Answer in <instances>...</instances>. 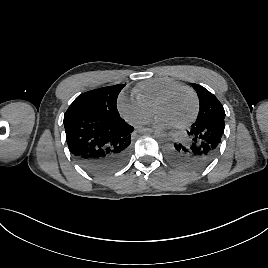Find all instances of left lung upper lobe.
Instances as JSON below:
<instances>
[{
    "label": "left lung upper lobe",
    "instance_id": "obj_1",
    "mask_svg": "<svg viewBox=\"0 0 268 268\" xmlns=\"http://www.w3.org/2000/svg\"><path fill=\"white\" fill-rule=\"evenodd\" d=\"M199 97L200 109L195 123H215L220 118H225V111L219 100L206 88L198 84H192ZM216 124H218L216 122Z\"/></svg>",
    "mask_w": 268,
    "mask_h": 268
}]
</instances>
